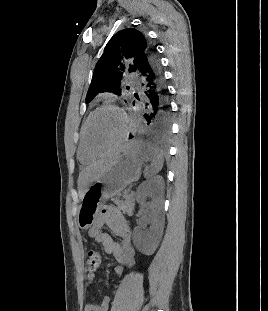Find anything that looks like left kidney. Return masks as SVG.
<instances>
[{
    "instance_id": "obj_1",
    "label": "left kidney",
    "mask_w": 268,
    "mask_h": 311,
    "mask_svg": "<svg viewBox=\"0 0 268 311\" xmlns=\"http://www.w3.org/2000/svg\"><path fill=\"white\" fill-rule=\"evenodd\" d=\"M163 194L164 180L161 176L144 181L136 193L135 198L142 208V217L140 225L133 231V243L145 255L155 252L163 234ZM147 198L151 199L149 203L146 202ZM145 206L148 210H143ZM145 228L147 229L144 231Z\"/></svg>"
}]
</instances>
